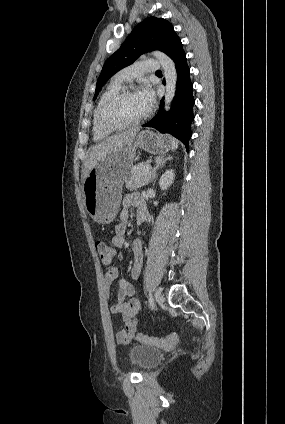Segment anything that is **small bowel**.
Instances as JSON below:
<instances>
[{
    "label": "small bowel",
    "mask_w": 285,
    "mask_h": 424,
    "mask_svg": "<svg viewBox=\"0 0 285 424\" xmlns=\"http://www.w3.org/2000/svg\"><path fill=\"white\" fill-rule=\"evenodd\" d=\"M137 209V222L145 223L148 221V212L145 205L144 196L140 192L126 194L122 199V209L120 212V222L115 226V235L112 238V244L116 248H121L125 244L126 222L130 217V210ZM132 252L134 256L131 267V277L137 279L140 276L143 265V244L141 240L135 239L132 242ZM118 280V300L117 303L109 307L111 315H120L123 321V328L116 331L114 336L119 344L129 343L135 336L139 320L138 315L141 311V301L135 297L134 286L124 278L119 277L117 267H110L103 278V296L106 301L111 297V285Z\"/></svg>",
    "instance_id": "small-bowel-1"
}]
</instances>
